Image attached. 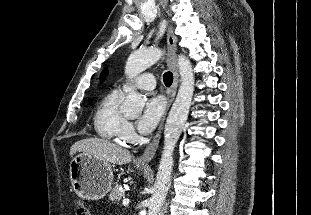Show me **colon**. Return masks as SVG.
Segmentation results:
<instances>
[{
	"label": "colon",
	"instance_id": "5ec220e1",
	"mask_svg": "<svg viewBox=\"0 0 311 215\" xmlns=\"http://www.w3.org/2000/svg\"><path fill=\"white\" fill-rule=\"evenodd\" d=\"M75 215H91V212L83 204L78 203L76 205Z\"/></svg>",
	"mask_w": 311,
	"mask_h": 215
}]
</instances>
